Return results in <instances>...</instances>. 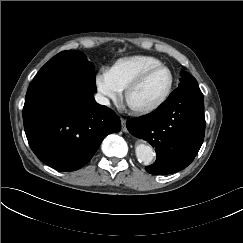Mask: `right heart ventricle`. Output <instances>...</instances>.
Listing matches in <instances>:
<instances>
[{
  "instance_id": "e07e8e85",
  "label": "right heart ventricle",
  "mask_w": 243,
  "mask_h": 243,
  "mask_svg": "<svg viewBox=\"0 0 243 243\" xmlns=\"http://www.w3.org/2000/svg\"><path fill=\"white\" fill-rule=\"evenodd\" d=\"M161 64V61L151 56H131L117 60L109 69L110 76L121 91L143 70Z\"/></svg>"
}]
</instances>
